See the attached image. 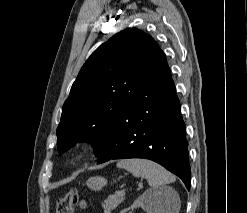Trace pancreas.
Here are the masks:
<instances>
[{
	"label": "pancreas",
	"mask_w": 247,
	"mask_h": 213,
	"mask_svg": "<svg viewBox=\"0 0 247 213\" xmlns=\"http://www.w3.org/2000/svg\"><path fill=\"white\" fill-rule=\"evenodd\" d=\"M124 196L119 194L110 195L103 203L102 207L104 208V213H110L111 210H114L122 201Z\"/></svg>",
	"instance_id": "1"
}]
</instances>
